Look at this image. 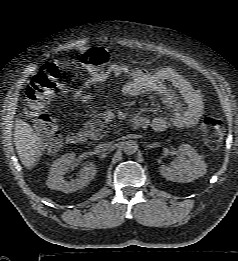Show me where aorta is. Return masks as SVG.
Returning <instances> with one entry per match:
<instances>
[{"label": "aorta", "mask_w": 238, "mask_h": 261, "mask_svg": "<svg viewBox=\"0 0 238 261\" xmlns=\"http://www.w3.org/2000/svg\"><path fill=\"white\" fill-rule=\"evenodd\" d=\"M122 149L126 155H133L138 150V145L133 140H127L123 143Z\"/></svg>", "instance_id": "obj_1"}]
</instances>
